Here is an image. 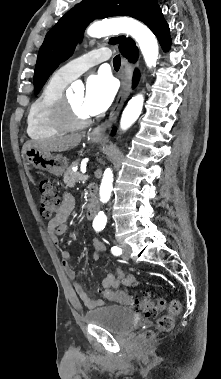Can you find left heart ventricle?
Wrapping results in <instances>:
<instances>
[{
  "instance_id": "b2bd125f",
  "label": "left heart ventricle",
  "mask_w": 221,
  "mask_h": 379,
  "mask_svg": "<svg viewBox=\"0 0 221 379\" xmlns=\"http://www.w3.org/2000/svg\"><path fill=\"white\" fill-rule=\"evenodd\" d=\"M83 98L84 95L82 93H77L70 95L68 97V100L76 110V112L81 116H88V114L83 110L82 104H83Z\"/></svg>"
}]
</instances>
